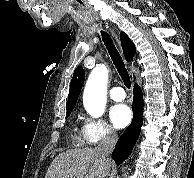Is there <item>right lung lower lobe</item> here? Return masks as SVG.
Here are the masks:
<instances>
[{"label": "right lung lower lobe", "mask_w": 194, "mask_h": 178, "mask_svg": "<svg viewBox=\"0 0 194 178\" xmlns=\"http://www.w3.org/2000/svg\"><path fill=\"white\" fill-rule=\"evenodd\" d=\"M133 121L119 138L112 158L117 164H121L131 153L140 134L143 123V95L138 85H134Z\"/></svg>", "instance_id": "obj_1"}]
</instances>
